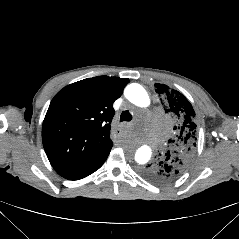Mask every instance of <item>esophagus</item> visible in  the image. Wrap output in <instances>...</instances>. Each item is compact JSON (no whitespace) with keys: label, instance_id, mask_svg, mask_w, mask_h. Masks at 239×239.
<instances>
[{"label":"esophagus","instance_id":"34e87169","mask_svg":"<svg viewBox=\"0 0 239 239\" xmlns=\"http://www.w3.org/2000/svg\"><path fill=\"white\" fill-rule=\"evenodd\" d=\"M112 133H113L114 135L120 136V135H122L123 130H122V128H120L119 126H114V127L112 128Z\"/></svg>","mask_w":239,"mask_h":239}]
</instances>
